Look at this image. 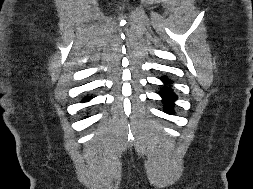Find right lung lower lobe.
Here are the masks:
<instances>
[{"label":"right lung lower lobe","mask_w":253,"mask_h":189,"mask_svg":"<svg viewBox=\"0 0 253 189\" xmlns=\"http://www.w3.org/2000/svg\"><path fill=\"white\" fill-rule=\"evenodd\" d=\"M91 98L90 97H87V98H85L84 100H83V102H87V101H89Z\"/></svg>","instance_id":"right-lung-lower-lobe-1"}]
</instances>
